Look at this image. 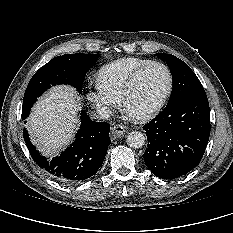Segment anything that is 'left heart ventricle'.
Instances as JSON below:
<instances>
[{
  "instance_id": "b2bd125f",
  "label": "left heart ventricle",
  "mask_w": 233,
  "mask_h": 233,
  "mask_svg": "<svg viewBox=\"0 0 233 233\" xmlns=\"http://www.w3.org/2000/svg\"><path fill=\"white\" fill-rule=\"evenodd\" d=\"M168 87V75L164 68L147 69L126 100V110L131 115L151 109L164 95Z\"/></svg>"
}]
</instances>
